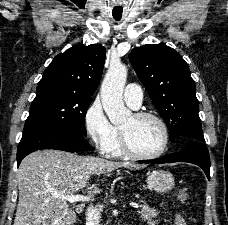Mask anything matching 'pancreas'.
<instances>
[{"mask_svg":"<svg viewBox=\"0 0 228 225\" xmlns=\"http://www.w3.org/2000/svg\"><path fill=\"white\" fill-rule=\"evenodd\" d=\"M141 203H144V201H141ZM142 207L143 209L138 211L141 215V219H143V221H147L148 225H158L157 221H153V219H155L158 215L156 209H150L146 203H144Z\"/></svg>","mask_w":228,"mask_h":225,"instance_id":"pancreas-1","label":"pancreas"}]
</instances>
